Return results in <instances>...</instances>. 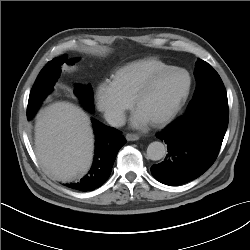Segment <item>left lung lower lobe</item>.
<instances>
[{
    "instance_id": "obj_1",
    "label": "left lung lower lobe",
    "mask_w": 250,
    "mask_h": 250,
    "mask_svg": "<svg viewBox=\"0 0 250 250\" xmlns=\"http://www.w3.org/2000/svg\"><path fill=\"white\" fill-rule=\"evenodd\" d=\"M228 126L226 90L208 93L188 106L185 114L156 137L165 141V160L151 167L159 182L175 186L189 182L214 163Z\"/></svg>"
}]
</instances>
